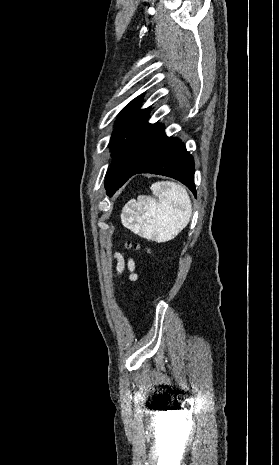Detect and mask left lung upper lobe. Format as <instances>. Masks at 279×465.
<instances>
[{
  "instance_id": "left-lung-upper-lobe-1",
  "label": "left lung upper lobe",
  "mask_w": 279,
  "mask_h": 465,
  "mask_svg": "<svg viewBox=\"0 0 279 465\" xmlns=\"http://www.w3.org/2000/svg\"><path fill=\"white\" fill-rule=\"evenodd\" d=\"M141 102L137 97L124 108L112 134L113 163L105 177L108 194L122 186L168 138L163 125L147 123L149 110H139Z\"/></svg>"
}]
</instances>
